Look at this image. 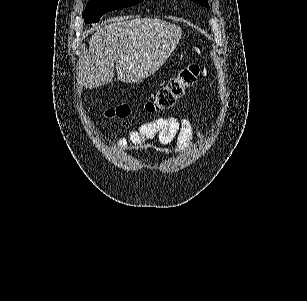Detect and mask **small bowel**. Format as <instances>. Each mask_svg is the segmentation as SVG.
<instances>
[{"instance_id": "1", "label": "small bowel", "mask_w": 307, "mask_h": 301, "mask_svg": "<svg viewBox=\"0 0 307 301\" xmlns=\"http://www.w3.org/2000/svg\"><path fill=\"white\" fill-rule=\"evenodd\" d=\"M195 134L200 138L205 136L203 130H195L189 119L171 116L137 125L129 131L126 137L118 140V145L123 149H129L130 146L142 148L146 141L157 139L164 145L176 142L177 150L185 152L189 149ZM163 152L168 155L172 154L170 149H164Z\"/></svg>"}]
</instances>
